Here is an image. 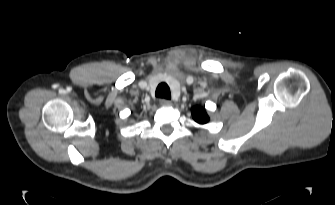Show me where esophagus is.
I'll use <instances>...</instances> for the list:
<instances>
[{
	"label": "esophagus",
	"instance_id": "34e87169",
	"mask_svg": "<svg viewBox=\"0 0 335 205\" xmlns=\"http://www.w3.org/2000/svg\"><path fill=\"white\" fill-rule=\"evenodd\" d=\"M160 105L161 106H170L171 102L168 99L163 98V99L160 100Z\"/></svg>",
	"mask_w": 335,
	"mask_h": 205
}]
</instances>
